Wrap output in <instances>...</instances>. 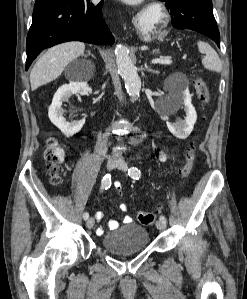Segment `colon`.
<instances>
[{"instance_id": "obj_1", "label": "colon", "mask_w": 247, "mask_h": 299, "mask_svg": "<svg viewBox=\"0 0 247 299\" xmlns=\"http://www.w3.org/2000/svg\"><path fill=\"white\" fill-rule=\"evenodd\" d=\"M194 87L200 102L203 105H206L209 101V91L206 83L201 78L195 77ZM44 158L47 163V172L50 175L52 182L54 184H59L63 172L61 163L64 158V151L53 137L47 139ZM194 160L195 150L194 146L191 145L186 151L185 163L181 168V175L184 179H187L192 173ZM117 191H121L120 184L117 187ZM137 219L142 225H151L155 221L156 215L152 212L140 211L137 214Z\"/></svg>"}]
</instances>
